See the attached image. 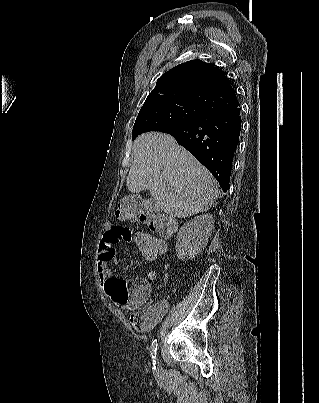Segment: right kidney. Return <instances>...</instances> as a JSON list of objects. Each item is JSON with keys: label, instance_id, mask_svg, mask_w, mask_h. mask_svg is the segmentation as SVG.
Here are the masks:
<instances>
[{"label": "right kidney", "instance_id": "1", "mask_svg": "<svg viewBox=\"0 0 319 403\" xmlns=\"http://www.w3.org/2000/svg\"><path fill=\"white\" fill-rule=\"evenodd\" d=\"M214 220L211 214L197 216L186 222L177 233L176 253L181 261L197 256L207 245Z\"/></svg>", "mask_w": 319, "mask_h": 403}]
</instances>
